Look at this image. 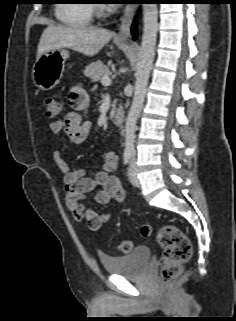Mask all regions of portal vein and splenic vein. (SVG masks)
I'll use <instances>...</instances> for the list:
<instances>
[{
  "instance_id": "18ae733b",
  "label": "portal vein and splenic vein",
  "mask_w": 236,
  "mask_h": 321,
  "mask_svg": "<svg viewBox=\"0 0 236 321\" xmlns=\"http://www.w3.org/2000/svg\"><path fill=\"white\" fill-rule=\"evenodd\" d=\"M101 82L104 85H110L112 81H111V78L106 75L102 77Z\"/></svg>"
}]
</instances>
